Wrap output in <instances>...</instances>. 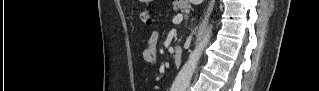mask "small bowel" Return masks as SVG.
Here are the masks:
<instances>
[{"instance_id": "1", "label": "small bowel", "mask_w": 319, "mask_h": 91, "mask_svg": "<svg viewBox=\"0 0 319 91\" xmlns=\"http://www.w3.org/2000/svg\"><path fill=\"white\" fill-rule=\"evenodd\" d=\"M159 42V33L154 31L150 35L147 45L142 51L141 59L142 62L148 65L156 63L157 45Z\"/></svg>"}]
</instances>
